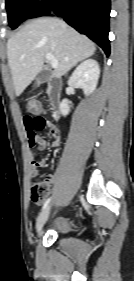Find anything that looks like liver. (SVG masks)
Returning <instances> with one entry per match:
<instances>
[{"mask_svg":"<svg viewBox=\"0 0 134 281\" xmlns=\"http://www.w3.org/2000/svg\"><path fill=\"white\" fill-rule=\"evenodd\" d=\"M95 44L65 22L43 17L30 21L7 42V56L16 96L41 72L46 55L58 60L60 78L78 62L95 53Z\"/></svg>","mask_w":134,"mask_h":281,"instance_id":"6515ba94","label":"liver"}]
</instances>
